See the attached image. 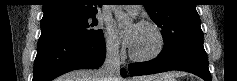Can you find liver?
Returning a JSON list of instances; mask_svg holds the SVG:
<instances>
[{
	"instance_id": "6515ba94",
	"label": "liver",
	"mask_w": 237,
	"mask_h": 81,
	"mask_svg": "<svg viewBox=\"0 0 237 81\" xmlns=\"http://www.w3.org/2000/svg\"><path fill=\"white\" fill-rule=\"evenodd\" d=\"M100 69L75 70L59 78V81H101ZM119 78L117 81H122ZM151 77H135L132 81H152Z\"/></svg>"
}]
</instances>
